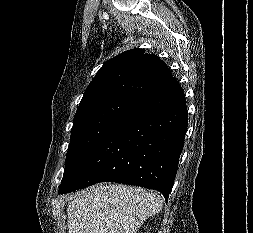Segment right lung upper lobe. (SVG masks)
<instances>
[{
    "label": "right lung upper lobe",
    "mask_w": 253,
    "mask_h": 233,
    "mask_svg": "<svg viewBox=\"0 0 253 233\" xmlns=\"http://www.w3.org/2000/svg\"><path fill=\"white\" fill-rule=\"evenodd\" d=\"M144 52V49H131L104 63L78 108L110 98L136 101L172 77L159 57Z\"/></svg>",
    "instance_id": "1"
}]
</instances>
